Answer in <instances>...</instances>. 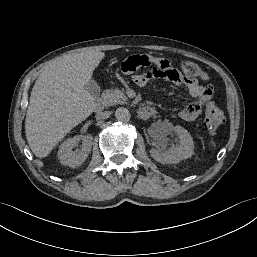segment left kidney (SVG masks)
Returning a JSON list of instances; mask_svg holds the SVG:
<instances>
[{
    "label": "left kidney",
    "instance_id": "obj_1",
    "mask_svg": "<svg viewBox=\"0 0 257 257\" xmlns=\"http://www.w3.org/2000/svg\"><path fill=\"white\" fill-rule=\"evenodd\" d=\"M173 130L180 138L178 146H172L167 149V132H162L157 141L159 144L158 149L152 148L150 150L151 157L162 164H176L181 160L190 158L194 153V142L190 133L181 126H175Z\"/></svg>",
    "mask_w": 257,
    "mask_h": 257
}]
</instances>
